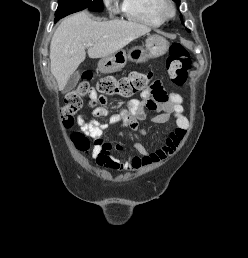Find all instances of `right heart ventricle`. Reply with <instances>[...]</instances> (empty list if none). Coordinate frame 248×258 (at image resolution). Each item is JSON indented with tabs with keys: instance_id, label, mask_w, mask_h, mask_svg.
Segmentation results:
<instances>
[{
	"instance_id": "e07e8e85",
	"label": "right heart ventricle",
	"mask_w": 248,
	"mask_h": 258,
	"mask_svg": "<svg viewBox=\"0 0 248 258\" xmlns=\"http://www.w3.org/2000/svg\"><path fill=\"white\" fill-rule=\"evenodd\" d=\"M158 5L159 0H123L122 11L131 21L158 27L165 21L158 10Z\"/></svg>"
}]
</instances>
